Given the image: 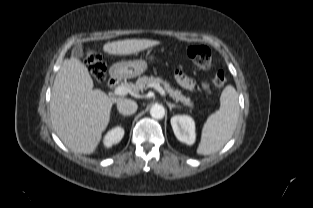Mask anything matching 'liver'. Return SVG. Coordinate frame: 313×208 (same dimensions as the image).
Masks as SVG:
<instances>
[{
  "mask_svg": "<svg viewBox=\"0 0 313 208\" xmlns=\"http://www.w3.org/2000/svg\"><path fill=\"white\" fill-rule=\"evenodd\" d=\"M160 44L157 40L125 39L103 46L110 55H130ZM103 91L93 89V80L83 63L65 59L56 74L50 101L53 129L73 152H95L106 129L114 102Z\"/></svg>",
  "mask_w": 313,
  "mask_h": 208,
  "instance_id": "liver-1",
  "label": "liver"
}]
</instances>
